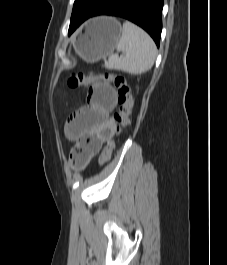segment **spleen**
Masks as SVG:
<instances>
[{
	"label": "spleen",
	"mask_w": 227,
	"mask_h": 265,
	"mask_svg": "<svg viewBox=\"0 0 227 265\" xmlns=\"http://www.w3.org/2000/svg\"><path fill=\"white\" fill-rule=\"evenodd\" d=\"M117 53L111 54L106 67L130 74H141L154 65L157 48L152 38L137 25L126 21L116 43ZM119 52L123 55L119 56Z\"/></svg>",
	"instance_id": "spleen-1"
}]
</instances>
